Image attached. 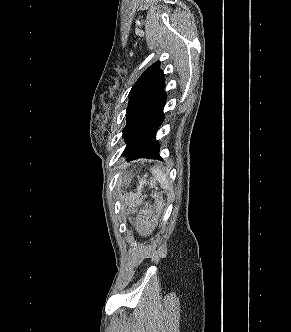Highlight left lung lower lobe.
Returning <instances> with one entry per match:
<instances>
[{"label": "left lung lower lobe", "mask_w": 291, "mask_h": 332, "mask_svg": "<svg viewBox=\"0 0 291 332\" xmlns=\"http://www.w3.org/2000/svg\"><path fill=\"white\" fill-rule=\"evenodd\" d=\"M165 102L166 92L162 91L145 106L139 129L129 140L123 152V155H128V161L139 157L160 158L159 144L155 140V134L164 118Z\"/></svg>", "instance_id": "left-lung-lower-lobe-1"}]
</instances>
